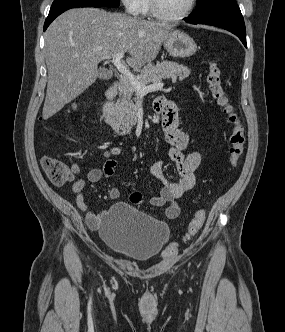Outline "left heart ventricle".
Listing matches in <instances>:
<instances>
[{
  "label": "left heart ventricle",
  "mask_w": 285,
  "mask_h": 332,
  "mask_svg": "<svg viewBox=\"0 0 285 332\" xmlns=\"http://www.w3.org/2000/svg\"><path fill=\"white\" fill-rule=\"evenodd\" d=\"M161 11L169 16L183 13L189 6L190 0H158Z\"/></svg>",
  "instance_id": "b2bd125f"
}]
</instances>
